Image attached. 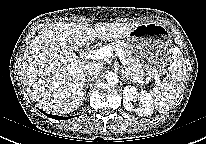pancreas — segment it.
I'll use <instances>...</instances> for the list:
<instances>
[{"instance_id":"obj_1","label":"pancreas","mask_w":206,"mask_h":144,"mask_svg":"<svg viewBox=\"0 0 206 144\" xmlns=\"http://www.w3.org/2000/svg\"><path fill=\"white\" fill-rule=\"evenodd\" d=\"M113 49L116 47L122 51L125 59L124 68L126 69L130 78L139 77L142 79V71L137 63V60L131 55L124 41L116 40L109 44Z\"/></svg>"}]
</instances>
